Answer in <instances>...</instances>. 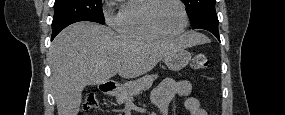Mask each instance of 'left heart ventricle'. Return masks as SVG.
Listing matches in <instances>:
<instances>
[{
	"label": "left heart ventricle",
	"instance_id": "left-heart-ventricle-1",
	"mask_svg": "<svg viewBox=\"0 0 285 115\" xmlns=\"http://www.w3.org/2000/svg\"><path fill=\"white\" fill-rule=\"evenodd\" d=\"M157 24L167 32L181 29L184 18L180 6L172 0L161 2L154 14Z\"/></svg>",
	"mask_w": 285,
	"mask_h": 115
}]
</instances>
